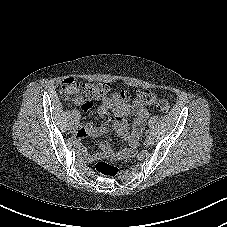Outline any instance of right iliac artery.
Listing matches in <instances>:
<instances>
[{
	"instance_id": "1",
	"label": "right iliac artery",
	"mask_w": 227,
	"mask_h": 227,
	"mask_svg": "<svg viewBox=\"0 0 227 227\" xmlns=\"http://www.w3.org/2000/svg\"><path fill=\"white\" fill-rule=\"evenodd\" d=\"M73 125L79 126V118H73Z\"/></svg>"
}]
</instances>
